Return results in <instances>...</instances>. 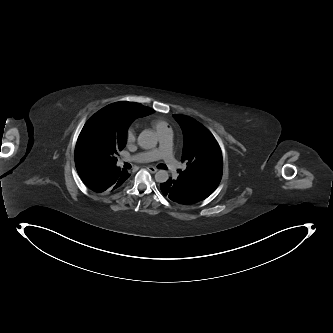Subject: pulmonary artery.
<instances>
[{
  "instance_id": "1",
  "label": "pulmonary artery",
  "mask_w": 333,
  "mask_h": 333,
  "mask_svg": "<svg viewBox=\"0 0 333 333\" xmlns=\"http://www.w3.org/2000/svg\"><path fill=\"white\" fill-rule=\"evenodd\" d=\"M160 139V148L157 151H147L142 152L137 155H134L130 159L126 161L133 162H151L156 159H163L165 164L173 170L175 167L174 158L172 155V131L167 130L161 134H159Z\"/></svg>"
}]
</instances>
